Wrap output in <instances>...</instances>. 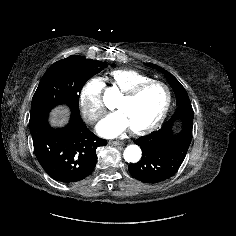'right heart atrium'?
<instances>
[{
  "label": "right heart atrium",
  "instance_id": "d8ad5b80",
  "mask_svg": "<svg viewBox=\"0 0 236 236\" xmlns=\"http://www.w3.org/2000/svg\"><path fill=\"white\" fill-rule=\"evenodd\" d=\"M103 90V81L99 78H92L84 84L80 91L79 104L81 114L89 124L97 123L106 111Z\"/></svg>",
  "mask_w": 236,
  "mask_h": 236
}]
</instances>
